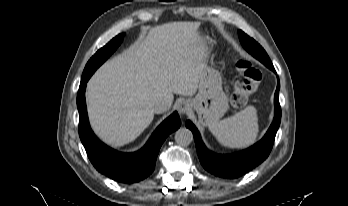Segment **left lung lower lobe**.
Returning a JSON list of instances; mask_svg holds the SVG:
<instances>
[{"mask_svg": "<svg viewBox=\"0 0 348 206\" xmlns=\"http://www.w3.org/2000/svg\"><path fill=\"white\" fill-rule=\"evenodd\" d=\"M278 90H279V86L277 87V90L275 93V103L278 97ZM277 104H279V102H277ZM275 111H276V108H275ZM280 116H281V111L279 114L277 124L274 129V135H272L271 139L265 144H263L260 148L255 149L259 144L257 143L254 147L250 149H247L245 151H242L234 155H228L222 158L214 156L204 149V146L200 138V134L198 130L196 129V127L191 122L188 121L186 123V126L190 128L193 132L198 156L202 166L208 172H211L212 174L216 176H221L226 178H237L247 173L248 171L256 167L258 164H260L263 160L267 158V156L269 155L272 149L275 134L280 124ZM261 142L262 141H260V143Z\"/></svg>", "mask_w": 348, "mask_h": 206, "instance_id": "left-lung-lower-lobe-1", "label": "left lung lower lobe"}]
</instances>
